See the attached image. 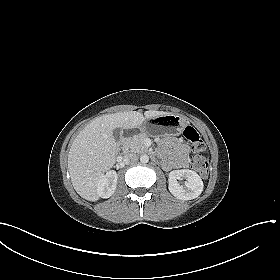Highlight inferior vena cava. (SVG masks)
<instances>
[{
    "mask_svg": "<svg viewBox=\"0 0 280 280\" xmlns=\"http://www.w3.org/2000/svg\"><path fill=\"white\" fill-rule=\"evenodd\" d=\"M123 160L126 164L128 163H133V162H136L138 161V155L135 154V153H126L124 156H123Z\"/></svg>",
    "mask_w": 280,
    "mask_h": 280,
    "instance_id": "inferior-vena-cava-1",
    "label": "inferior vena cava"
}]
</instances>
